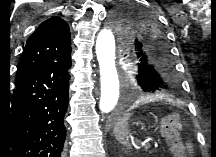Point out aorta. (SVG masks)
Segmentation results:
<instances>
[{"instance_id": "762f6f07", "label": "aorta", "mask_w": 216, "mask_h": 157, "mask_svg": "<svg viewBox=\"0 0 216 157\" xmlns=\"http://www.w3.org/2000/svg\"><path fill=\"white\" fill-rule=\"evenodd\" d=\"M96 55L100 68L102 113L111 112L119 98V78L115 65V38L110 29H103L96 39Z\"/></svg>"}]
</instances>
